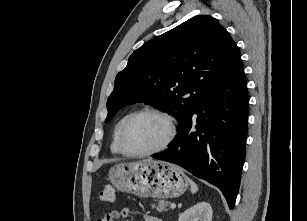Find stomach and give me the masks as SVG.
Returning <instances> with one entry per match:
<instances>
[{"mask_svg":"<svg viewBox=\"0 0 307 221\" xmlns=\"http://www.w3.org/2000/svg\"><path fill=\"white\" fill-rule=\"evenodd\" d=\"M109 180L119 191L142 198L179 197L189 186L180 167L150 159L116 164L109 172Z\"/></svg>","mask_w":307,"mask_h":221,"instance_id":"1","label":"stomach"}]
</instances>
